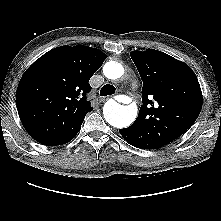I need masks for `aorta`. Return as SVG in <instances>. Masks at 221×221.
Masks as SVG:
<instances>
[{"label":"aorta","mask_w":221,"mask_h":221,"mask_svg":"<svg viewBox=\"0 0 221 221\" xmlns=\"http://www.w3.org/2000/svg\"><path fill=\"white\" fill-rule=\"evenodd\" d=\"M104 75L111 80L119 79L124 74V67L117 61L107 62L103 67ZM105 120L116 128H125L130 126L137 116V107L135 105L123 106L115 100H108L103 107Z\"/></svg>","instance_id":"aorta-1"}]
</instances>
